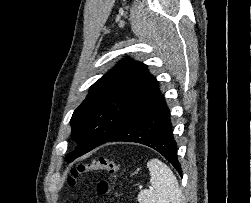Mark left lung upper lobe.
<instances>
[{
  "mask_svg": "<svg viewBox=\"0 0 251 203\" xmlns=\"http://www.w3.org/2000/svg\"><path fill=\"white\" fill-rule=\"evenodd\" d=\"M158 82L141 62L124 59L90 88L70 120L79 141L69 163L107 142L160 95Z\"/></svg>",
  "mask_w": 251,
  "mask_h": 203,
  "instance_id": "obj_1",
  "label": "left lung upper lobe"
}]
</instances>
